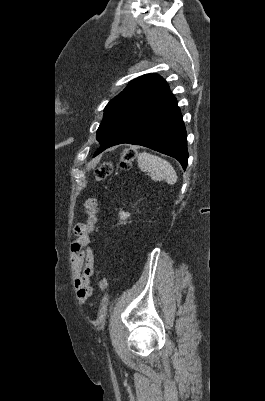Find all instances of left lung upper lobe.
<instances>
[{
	"label": "left lung upper lobe",
	"instance_id": "1",
	"mask_svg": "<svg viewBox=\"0 0 265 401\" xmlns=\"http://www.w3.org/2000/svg\"><path fill=\"white\" fill-rule=\"evenodd\" d=\"M168 89L165 80L156 74H147L132 80L105 107L96 136L99 144L116 132L132 115Z\"/></svg>",
	"mask_w": 265,
	"mask_h": 401
}]
</instances>
